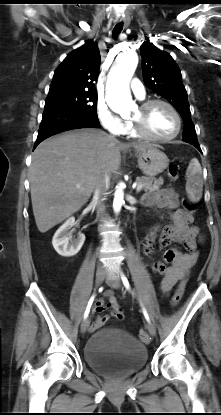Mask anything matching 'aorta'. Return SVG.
Here are the masks:
<instances>
[{
  "label": "aorta",
  "instance_id": "762f6f07",
  "mask_svg": "<svg viewBox=\"0 0 221 415\" xmlns=\"http://www.w3.org/2000/svg\"><path fill=\"white\" fill-rule=\"evenodd\" d=\"M137 65V53L134 51H127L116 58L110 69L106 101L114 112L123 113L128 111L133 104L129 83ZM123 199V184H119L116 188L113 200V209L116 214L121 210L124 201Z\"/></svg>",
  "mask_w": 221,
  "mask_h": 415
}]
</instances>
